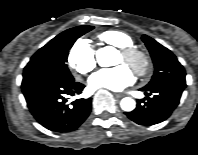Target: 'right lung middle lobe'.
Returning <instances> with one entry per match:
<instances>
[{"label":"right lung middle lobe","instance_id":"dd1d6c3e","mask_svg":"<svg viewBox=\"0 0 198 155\" xmlns=\"http://www.w3.org/2000/svg\"><path fill=\"white\" fill-rule=\"evenodd\" d=\"M93 26H78L68 29L39 49L24 68L23 77L48 76L61 81H73L67 68L68 53L74 42Z\"/></svg>","mask_w":198,"mask_h":155}]
</instances>
